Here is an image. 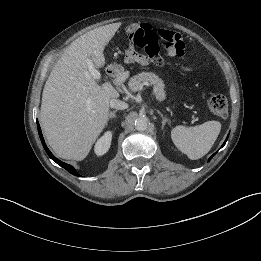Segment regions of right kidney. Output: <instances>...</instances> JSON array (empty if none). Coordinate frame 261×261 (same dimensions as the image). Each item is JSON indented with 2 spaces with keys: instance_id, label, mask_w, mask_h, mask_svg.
I'll return each mask as SVG.
<instances>
[{
  "instance_id": "obj_1",
  "label": "right kidney",
  "mask_w": 261,
  "mask_h": 261,
  "mask_svg": "<svg viewBox=\"0 0 261 261\" xmlns=\"http://www.w3.org/2000/svg\"><path fill=\"white\" fill-rule=\"evenodd\" d=\"M112 132H106L95 144L94 151L96 155H104L110 148Z\"/></svg>"
}]
</instances>
